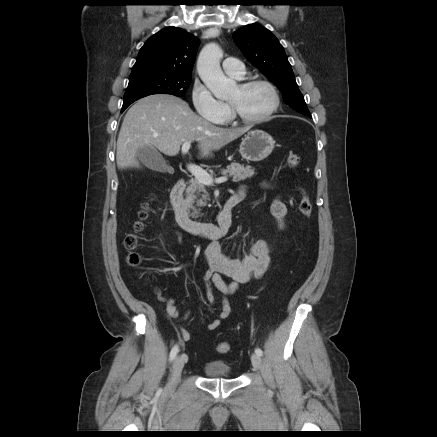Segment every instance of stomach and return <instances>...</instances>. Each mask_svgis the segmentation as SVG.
Here are the masks:
<instances>
[{"label": "stomach", "mask_w": 437, "mask_h": 437, "mask_svg": "<svg viewBox=\"0 0 437 437\" xmlns=\"http://www.w3.org/2000/svg\"><path fill=\"white\" fill-rule=\"evenodd\" d=\"M275 141L271 135L262 130L247 133L239 146L241 156L248 161H262L274 149Z\"/></svg>", "instance_id": "obj_1"}]
</instances>
